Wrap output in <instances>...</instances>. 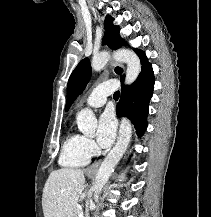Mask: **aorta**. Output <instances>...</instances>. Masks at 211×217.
I'll return each mask as SVG.
<instances>
[{"mask_svg":"<svg viewBox=\"0 0 211 217\" xmlns=\"http://www.w3.org/2000/svg\"><path fill=\"white\" fill-rule=\"evenodd\" d=\"M113 57L116 61L124 62L127 64L126 70V77L125 83L131 84L133 83L140 71H141V64L140 59L138 56L126 49L117 50L113 53ZM110 58V54L108 52H101L93 57L92 60V69L94 71L102 70L105 65L107 64ZM77 125L78 129L85 135H92L94 134L97 128V119L94 113L90 109H83L77 115ZM132 136V126L131 122L126 118L122 117L120 129H119V137L116 145L107 155L105 160L102 162L97 176H96V183L94 185V196L97 197L104 185L107 183L110 175L114 171L115 166L122 158L123 154L125 153L130 139Z\"/></svg>","mask_w":211,"mask_h":217,"instance_id":"obj_1","label":"aorta"}]
</instances>
